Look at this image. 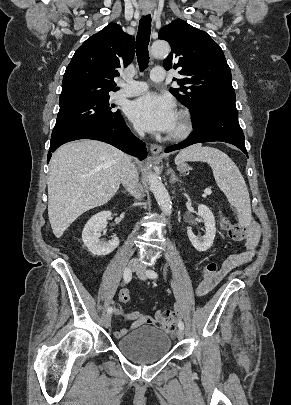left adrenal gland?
<instances>
[{
    "label": "left adrenal gland",
    "mask_w": 291,
    "mask_h": 405,
    "mask_svg": "<svg viewBox=\"0 0 291 405\" xmlns=\"http://www.w3.org/2000/svg\"><path fill=\"white\" fill-rule=\"evenodd\" d=\"M167 173L171 175V176H170V181H169L170 184H174L175 182H181V181L179 180V178L175 175V172L173 171L172 168H169V169L167 170Z\"/></svg>",
    "instance_id": "1"
}]
</instances>
